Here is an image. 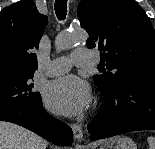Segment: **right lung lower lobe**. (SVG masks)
Masks as SVG:
<instances>
[{
	"label": "right lung lower lobe",
	"mask_w": 155,
	"mask_h": 149,
	"mask_svg": "<svg viewBox=\"0 0 155 149\" xmlns=\"http://www.w3.org/2000/svg\"><path fill=\"white\" fill-rule=\"evenodd\" d=\"M0 121L23 126L59 146H68L73 142L71 128L48 114L43 109L42 100L27 113L0 110Z\"/></svg>",
	"instance_id": "right-lung-lower-lobe-1"
}]
</instances>
